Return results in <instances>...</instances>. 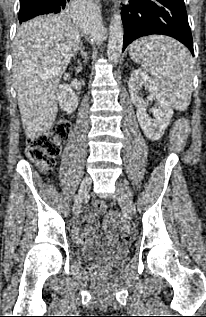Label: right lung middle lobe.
I'll list each match as a JSON object with an SVG mask.
<instances>
[{
	"label": "right lung middle lobe",
	"mask_w": 206,
	"mask_h": 317,
	"mask_svg": "<svg viewBox=\"0 0 206 317\" xmlns=\"http://www.w3.org/2000/svg\"><path fill=\"white\" fill-rule=\"evenodd\" d=\"M55 1L58 0H20L19 22L22 23L42 14L62 12L65 8L57 7Z\"/></svg>",
	"instance_id": "dd1d6c3e"
}]
</instances>
